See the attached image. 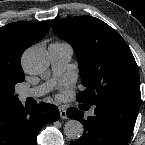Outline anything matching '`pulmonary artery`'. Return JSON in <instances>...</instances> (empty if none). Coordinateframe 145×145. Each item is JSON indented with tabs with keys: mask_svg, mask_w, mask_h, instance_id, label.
I'll return each mask as SVG.
<instances>
[{
	"mask_svg": "<svg viewBox=\"0 0 145 145\" xmlns=\"http://www.w3.org/2000/svg\"><path fill=\"white\" fill-rule=\"evenodd\" d=\"M48 50L51 58L53 74L56 77L60 76L65 71L72 57V48L67 43H52L49 46ZM51 86V83H46L37 87L24 89L19 93V98L22 101H24L27 98H38L46 94L51 89Z\"/></svg>",
	"mask_w": 145,
	"mask_h": 145,
	"instance_id": "obj_1",
	"label": "pulmonary artery"
}]
</instances>
